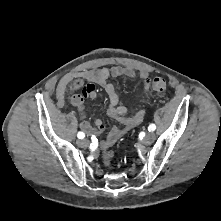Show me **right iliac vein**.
<instances>
[{
    "instance_id": "1",
    "label": "right iliac vein",
    "mask_w": 221,
    "mask_h": 221,
    "mask_svg": "<svg viewBox=\"0 0 221 221\" xmlns=\"http://www.w3.org/2000/svg\"><path fill=\"white\" fill-rule=\"evenodd\" d=\"M80 147H87L89 145V141L87 139H82L77 142Z\"/></svg>"
}]
</instances>
